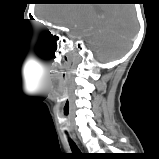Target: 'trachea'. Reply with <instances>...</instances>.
I'll list each match as a JSON object with an SVG mask.
<instances>
[{
	"label": "trachea",
	"mask_w": 159,
	"mask_h": 159,
	"mask_svg": "<svg viewBox=\"0 0 159 159\" xmlns=\"http://www.w3.org/2000/svg\"><path fill=\"white\" fill-rule=\"evenodd\" d=\"M69 144H70V147H71L73 152H75V153L79 152L77 146L75 145V143L70 138H69Z\"/></svg>",
	"instance_id": "3493384b"
}]
</instances>
